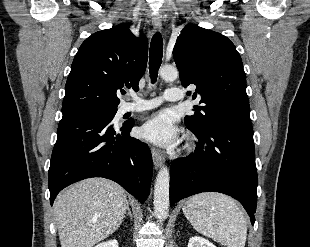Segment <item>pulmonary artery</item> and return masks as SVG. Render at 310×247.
I'll return each instance as SVG.
<instances>
[{"instance_id": "e3ab8cb5", "label": "pulmonary artery", "mask_w": 310, "mask_h": 247, "mask_svg": "<svg viewBox=\"0 0 310 247\" xmlns=\"http://www.w3.org/2000/svg\"><path fill=\"white\" fill-rule=\"evenodd\" d=\"M163 98L167 101H179L183 98V92L178 87H169L165 90ZM162 102V98H153L150 100L134 97V102H126L121 105L120 114L128 112H141L157 107Z\"/></svg>"}]
</instances>
